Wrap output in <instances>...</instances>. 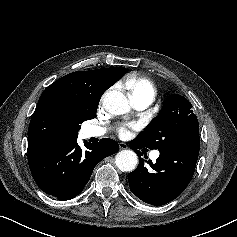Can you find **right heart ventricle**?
<instances>
[{"instance_id":"e07e8e85","label":"right heart ventricle","mask_w":237,"mask_h":237,"mask_svg":"<svg viewBox=\"0 0 237 237\" xmlns=\"http://www.w3.org/2000/svg\"><path fill=\"white\" fill-rule=\"evenodd\" d=\"M125 87L129 90L130 98L133 103L140 100L152 102L157 96V86L148 78L130 76L124 82Z\"/></svg>"}]
</instances>
